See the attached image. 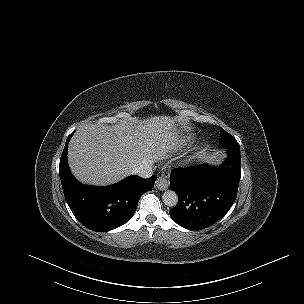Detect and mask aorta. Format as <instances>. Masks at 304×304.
I'll use <instances>...</instances> for the list:
<instances>
[{
	"instance_id": "aorta-1",
	"label": "aorta",
	"mask_w": 304,
	"mask_h": 304,
	"mask_svg": "<svg viewBox=\"0 0 304 304\" xmlns=\"http://www.w3.org/2000/svg\"><path fill=\"white\" fill-rule=\"evenodd\" d=\"M163 203L168 207H175L178 203V195L173 190H167L162 195Z\"/></svg>"
}]
</instances>
